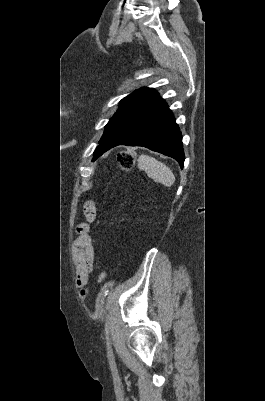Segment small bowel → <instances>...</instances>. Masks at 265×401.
<instances>
[{
    "mask_svg": "<svg viewBox=\"0 0 265 401\" xmlns=\"http://www.w3.org/2000/svg\"><path fill=\"white\" fill-rule=\"evenodd\" d=\"M85 221L76 227L78 237L74 243V264L76 272V282L83 288L89 280L94 265V248L90 236L91 225L97 218V204L94 200H87L83 205ZM81 295L85 296L83 289Z\"/></svg>",
    "mask_w": 265,
    "mask_h": 401,
    "instance_id": "c3829d8e",
    "label": "small bowel"
}]
</instances>
